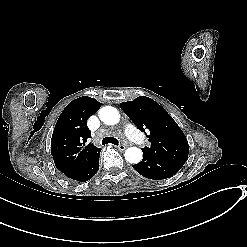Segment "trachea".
<instances>
[{
    "instance_id": "3493384b",
    "label": "trachea",
    "mask_w": 247,
    "mask_h": 247,
    "mask_svg": "<svg viewBox=\"0 0 247 247\" xmlns=\"http://www.w3.org/2000/svg\"><path fill=\"white\" fill-rule=\"evenodd\" d=\"M108 143H111L113 145H118L119 141H118V139H116L114 137H105V138H103L102 145H105V144H108Z\"/></svg>"
}]
</instances>
